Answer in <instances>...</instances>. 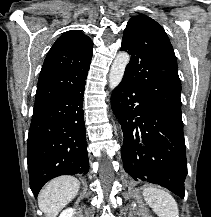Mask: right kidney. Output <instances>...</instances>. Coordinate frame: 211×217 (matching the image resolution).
<instances>
[{"label": "right kidney", "instance_id": "1", "mask_svg": "<svg viewBox=\"0 0 211 217\" xmlns=\"http://www.w3.org/2000/svg\"><path fill=\"white\" fill-rule=\"evenodd\" d=\"M75 210L73 208H68L64 210L59 217H73Z\"/></svg>", "mask_w": 211, "mask_h": 217}]
</instances>
